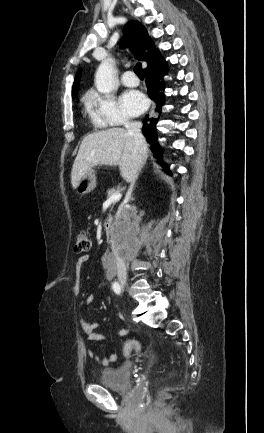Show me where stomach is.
<instances>
[{"mask_svg":"<svg viewBox=\"0 0 264 433\" xmlns=\"http://www.w3.org/2000/svg\"><path fill=\"white\" fill-rule=\"evenodd\" d=\"M95 187H96L95 171L91 169L90 171H88L87 174H85L80 179L76 187V190L79 194L84 195L94 190Z\"/></svg>","mask_w":264,"mask_h":433,"instance_id":"stomach-1","label":"stomach"}]
</instances>
